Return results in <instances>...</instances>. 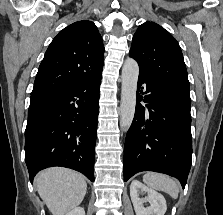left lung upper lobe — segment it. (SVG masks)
<instances>
[{"instance_id":"5c2ea615","label":"left lung upper lobe","mask_w":223,"mask_h":215,"mask_svg":"<svg viewBox=\"0 0 223 215\" xmlns=\"http://www.w3.org/2000/svg\"><path fill=\"white\" fill-rule=\"evenodd\" d=\"M130 57L139 65V76L190 96L187 70L176 39L154 22L139 26L133 36Z\"/></svg>"}]
</instances>
